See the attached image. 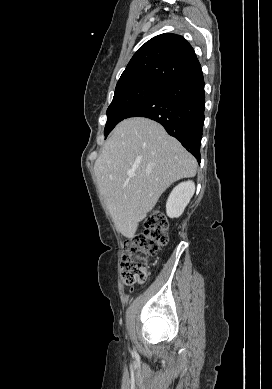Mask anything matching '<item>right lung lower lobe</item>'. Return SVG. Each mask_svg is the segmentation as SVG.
Masks as SVG:
<instances>
[{"instance_id": "right-lung-lower-lobe-1", "label": "right lung lower lobe", "mask_w": 272, "mask_h": 389, "mask_svg": "<svg viewBox=\"0 0 272 389\" xmlns=\"http://www.w3.org/2000/svg\"><path fill=\"white\" fill-rule=\"evenodd\" d=\"M204 105V79L199 67L163 86L134 107L126 118L139 116L159 122L200 162Z\"/></svg>"}]
</instances>
